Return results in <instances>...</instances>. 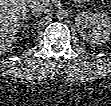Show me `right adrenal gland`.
<instances>
[{"label":"right adrenal gland","mask_w":111,"mask_h":106,"mask_svg":"<svg viewBox=\"0 0 111 106\" xmlns=\"http://www.w3.org/2000/svg\"><path fill=\"white\" fill-rule=\"evenodd\" d=\"M35 17V18H37L38 17V15H35V14H33V13H31V14H29L28 16H26L25 17V20H28L30 17Z\"/></svg>","instance_id":"1"}]
</instances>
